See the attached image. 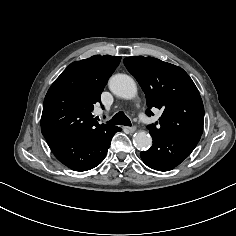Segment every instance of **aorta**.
Masks as SVG:
<instances>
[{"mask_svg": "<svg viewBox=\"0 0 236 236\" xmlns=\"http://www.w3.org/2000/svg\"><path fill=\"white\" fill-rule=\"evenodd\" d=\"M109 89L113 94L123 99H133L137 94V86L132 77L126 74H116L109 80ZM134 143L138 149L147 150L152 145L151 136L145 131L134 135Z\"/></svg>", "mask_w": 236, "mask_h": 236, "instance_id": "1", "label": "aorta"}]
</instances>
